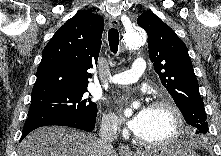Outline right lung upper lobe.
I'll return each instance as SVG.
<instances>
[{"label":"right lung upper lobe","instance_id":"1","mask_svg":"<svg viewBox=\"0 0 221 156\" xmlns=\"http://www.w3.org/2000/svg\"><path fill=\"white\" fill-rule=\"evenodd\" d=\"M103 29V18L88 11L66 21L43 50L32 100L87 89V70L97 65Z\"/></svg>","mask_w":221,"mask_h":156}]
</instances>
